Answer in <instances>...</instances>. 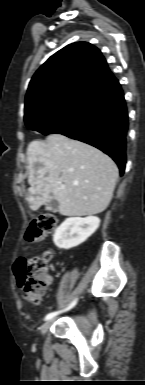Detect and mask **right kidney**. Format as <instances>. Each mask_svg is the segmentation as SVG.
Returning a JSON list of instances; mask_svg holds the SVG:
<instances>
[{
	"label": "right kidney",
	"instance_id": "ca27d5eb",
	"mask_svg": "<svg viewBox=\"0 0 145 385\" xmlns=\"http://www.w3.org/2000/svg\"><path fill=\"white\" fill-rule=\"evenodd\" d=\"M96 216L67 218L53 235L54 244L59 249L69 250L86 241L99 227Z\"/></svg>",
	"mask_w": 145,
	"mask_h": 385
}]
</instances>
